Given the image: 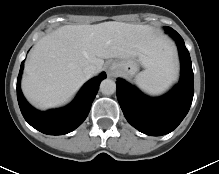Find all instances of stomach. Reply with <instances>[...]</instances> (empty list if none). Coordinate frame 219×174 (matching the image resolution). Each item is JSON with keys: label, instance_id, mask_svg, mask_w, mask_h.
Instances as JSON below:
<instances>
[{"label": "stomach", "instance_id": "obj_1", "mask_svg": "<svg viewBox=\"0 0 219 174\" xmlns=\"http://www.w3.org/2000/svg\"><path fill=\"white\" fill-rule=\"evenodd\" d=\"M117 71L125 76H133L138 71L136 57H129L113 63Z\"/></svg>", "mask_w": 219, "mask_h": 174}]
</instances>
